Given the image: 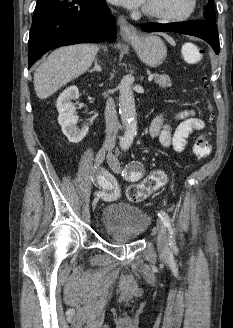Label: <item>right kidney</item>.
<instances>
[{"label": "right kidney", "mask_w": 233, "mask_h": 328, "mask_svg": "<svg viewBox=\"0 0 233 328\" xmlns=\"http://www.w3.org/2000/svg\"><path fill=\"white\" fill-rule=\"evenodd\" d=\"M79 98V91L76 86L66 88L58 97L56 107L59 112L58 122L61 125L63 134L72 143L80 142L88 132V126L77 127L78 118L74 116L75 106L71 102Z\"/></svg>", "instance_id": "obj_1"}]
</instances>
